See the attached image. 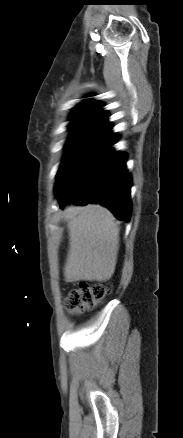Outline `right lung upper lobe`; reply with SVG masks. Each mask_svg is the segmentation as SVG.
I'll return each mask as SVG.
<instances>
[{"label":"right lung upper lobe","instance_id":"1","mask_svg":"<svg viewBox=\"0 0 183 438\" xmlns=\"http://www.w3.org/2000/svg\"><path fill=\"white\" fill-rule=\"evenodd\" d=\"M102 104L98 101H86L76 106L71 114L72 122L69 125L70 129H91L99 131L103 127L109 125L107 122L108 113L102 111Z\"/></svg>","mask_w":183,"mask_h":438}]
</instances>
